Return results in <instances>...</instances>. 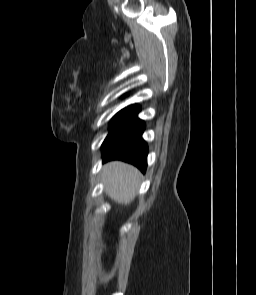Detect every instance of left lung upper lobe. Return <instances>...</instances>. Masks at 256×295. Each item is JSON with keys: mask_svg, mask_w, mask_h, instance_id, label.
<instances>
[{"mask_svg": "<svg viewBox=\"0 0 256 295\" xmlns=\"http://www.w3.org/2000/svg\"><path fill=\"white\" fill-rule=\"evenodd\" d=\"M139 110V107L137 105L135 106H129L127 108L122 109L119 111L112 119L111 125H110V131L115 129L119 124H121L124 120H126L128 117H130L132 114L137 112Z\"/></svg>", "mask_w": 256, "mask_h": 295, "instance_id": "obj_1", "label": "left lung upper lobe"}]
</instances>
